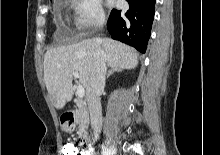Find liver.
<instances>
[{
    "mask_svg": "<svg viewBox=\"0 0 220 155\" xmlns=\"http://www.w3.org/2000/svg\"><path fill=\"white\" fill-rule=\"evenodd\" d=\"M101 48L108 66L133 69L138 64L136 51L110 38H91L67 46L48 50L44 56V82L57 109L72 99L73 72L79 73V83L87 88L91 71Z\"/></svg>",
    "mask_w": 220,
    "mask_h": 155,
    "instance_id": "6515ba94",
    "label": "liver"
}]
</instances>
